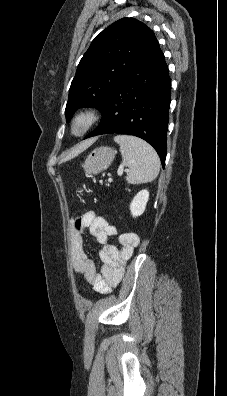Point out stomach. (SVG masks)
Instances as JSON below:
<instances>
[{"label": "stomach", "mask_w": 227, "mask_h": 396, "mask_svg": "<svg viewBox=\"0 0 227 396\" xmlns=\"http://www.w3.org/2000/svg\"><path fill=\"white\" fill-rule=\"evenodd\" d=\"M116 151L109 147H100L93 150L85 160L84 170L86 174H98L106 170L114 160Z\"/></svg>", "instance_id": "0dacf381"}]
</instances>
